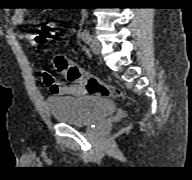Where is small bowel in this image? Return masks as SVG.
<instances>
[{"instance_id":"obj_1","label":"small bowel","mask_w":192,"mask_h":180,"mask_svg":"<svg viewBox=\"0 0 192 180\" xmlns=\"http://www.w3.org/2000/svg\"><path fill=\"white\" fill-rule=\"evenodd\" d=\"M24 22V13L22 10H16L12 15V23L21 25ZM25 38H31V34H25ZM45 85L49 91L56 96H81L85 93L84 89L79 85H69L63 82L54 81L49 75L43 78Z\"/></svg>"}]
</instances>
